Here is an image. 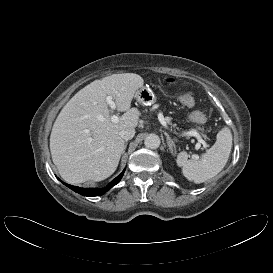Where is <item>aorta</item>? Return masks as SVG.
<instances>
[{"instance_id":"762f6f07","label":"aorta","mask_w":273,"mask_h":273,"mask_svg":"<svg viewBox=\"0 0 273 273\" xmlns=\"http://www.w3.org/2000/svg\"><path fill=\"white\" fill-rule=\"evenodd\" d=\"M160 143V138L156 134H149L144 140L145 146L149 149H157Z\"/></svg>"}]
</instances>
